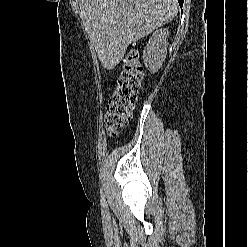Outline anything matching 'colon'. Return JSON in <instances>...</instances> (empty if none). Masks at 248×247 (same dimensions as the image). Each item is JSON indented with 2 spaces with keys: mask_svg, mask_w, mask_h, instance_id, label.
Wrapping results in <instances>:
<instances>
[{
  "mask_svg": "<svg viewBox=\"0 0 248 247\" xmlns=\"http://www.w3.org/2000/svg\"><path fill=\"white\" fill-rule=\"evenodd\" d=\"M143 79V68L139 53L131 48L124 60V69L117 86L109 97L104 116L105 128L110 136H115L131 116Z\"/></svg>",
  "mask_w": 248,
  "mask_h": 247,
  "instance_id": "obj_1",
  "label": "colon"
}]
</instances>
